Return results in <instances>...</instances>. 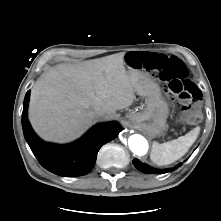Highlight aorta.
Masks as SVG:
<instances>
[{"label": "aorta", "mask_w": 221, "mask_h": 221, "mask_svg": "<svg viewBox=\"0 0 221 221\" xmlns=\"http://www.w3.org/2000/svg\"><path fill=\"white\" fill-rule=\"evenodd\" d=\"M128 146L134 154L139 156L145 155L148 151L147 140L139 134H133L128 138Z\"/></svg>", "instance_id": "aorta-1"}]
</instances>
